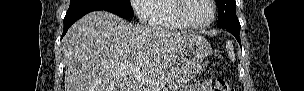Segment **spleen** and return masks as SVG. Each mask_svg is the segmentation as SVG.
<instances>
[{
    "label": "spleen",
    "instance_id": "obj_1",
    "mask_svg": "<svg viewBox=\"0 0 304 91\" xmlns=\"http://www.w3.org/2000/svg\"><path fill=\"white\" fill-rule=\"evenodd\" d=\"M226 48L228 50V54H229V57H230L231 61L234 62L236 60V58H235V53L233 51V45H232V43L228 42L227 45H226Z\"/></svg>",
    "mask_w": 304,
    "mask_h": 91
}]
</instances>
